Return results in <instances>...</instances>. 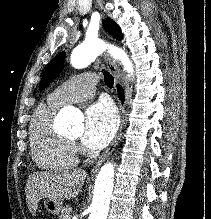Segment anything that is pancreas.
I'll use <instances>...</instances> for the list:
<instances>
[{"mask_svg": "<svg viewBox=\"0 0 211 219\" xmlns=\"http://www.w3.org/2000/svg\"><path fill=\"white\" fill-rule=\"evenodd\" d=\"M70 212H71V208L69 206L64 207L61 211V214L59 215V219H65L66 217L67 219H71Z\"/></svg>", "mask_w": 211, "mask_h": 219, "instance_id": "cf45deb5", "label": "pancreas"}]
</instances>
